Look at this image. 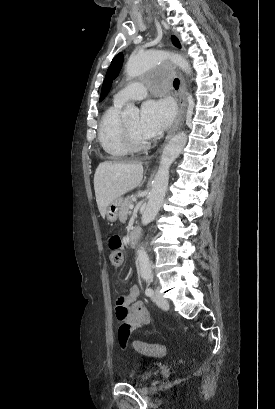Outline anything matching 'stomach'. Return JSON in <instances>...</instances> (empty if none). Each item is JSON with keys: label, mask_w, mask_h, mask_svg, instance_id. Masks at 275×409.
Wrapping results in <instances>:
<instances>
[{"label": "stomach", "mask_w": 275, "mask_h": 409, "mask_svg": "<svg viewBox=\"0 0 275 409\" xmlns=\"http://www.w3.org/2000/svg\"><path fill=\"white\" fill-rule=\"evenodd\" d=\"M121 205H123L122 196H119V198H115V200H111L110 205H108L106 211V217L109 223H115V221H117Z\"/></svg>", "instance_id": "stomach-1"}]
</instances>
